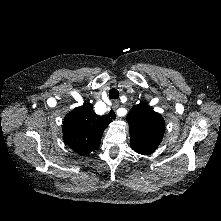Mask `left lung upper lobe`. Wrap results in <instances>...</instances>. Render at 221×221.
<instances>
[{
	"mask_svg": "<svg viewBox=\"0 0 221 221\" xmlns=\"http://www.w3.org/2000/svg\"><path fill=\"white\" fill-rule=\"evenodd\" d=\"M132 149L142 155L152 153L165 131L164 119L147 104L135 105L127 116Z\"/></svg>",
	"mask_w": 221,
	"mask_h": 221,
	"instance_id": "obj_1",
	"label": "left lung upper lobe"
}]
</instances>
